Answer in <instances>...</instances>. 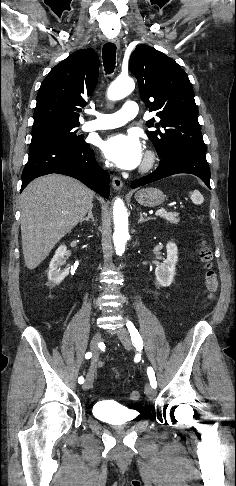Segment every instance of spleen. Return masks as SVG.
<instances>
[{"instance_id":"1","label":"spleen","mask_w":236,"mask_h":486,"mask_svg":"<svg viewBox=\"0 0 236 486\" xmlns=\"http://www.w3.org/2000/svg\"><path fill=\"white\" fill-rule=\"evenodd\" d=\"M190 198L195 204H202L204 201L203 196L198 190H194L193 192L190 193Z\"/></svg>"}]
</instances>
